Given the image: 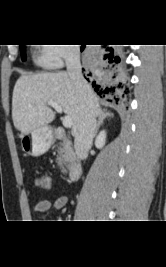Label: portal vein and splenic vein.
Returning a JSON list of instances; mask_svg holds the SVG:
<instances>
[{
  "label": "portal vein and splenic vein",
  "mask_w": 166,
  "mask_h": 267,
  "mask_svg": "<svg viewBox=\"0 0 166 267\" xmlns=\"http://www.w3.org/2000/svg\"><path fill=\"white\" fill-rule=\"evenodd\" d=\"M47 105L53 107L57 112L62 113V108L58 103H56L54 101H48ZM62 123H63L64 127L70 128L73 124L71 116H69V115L64 116L62 119Z\"/></svg>",
  "instance_id": "18ae733b"
}]
</instances>
